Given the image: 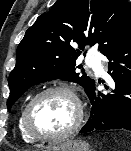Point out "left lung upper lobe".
Instances as JSON below:
<instances>
[{"label": "left lung upper lobe", "instance_id": "1", "mask_svg": "<svg viewBox=\"0 0 131 151\" xmlns=\"http://www.w3.org/2000/svg\"><path fill=\"white\" fill-rule=\"evenodd\" d=\"M129 38L131 8L125 0H57L18 45L8 78V110L31 86L58 78L80 84L87 93L94 80L75 71L84 46L96 44L106 55Z\"/></svg>", "mask_w": 131, "mask_h": 151}]
</instances>
